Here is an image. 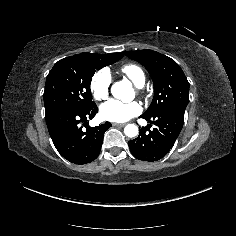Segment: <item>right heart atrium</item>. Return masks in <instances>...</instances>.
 <instances>
[{"instance_id": "1", "label": "right heart atrium", "mask_w": 236, "mask_h": 236, "mask_svg": "<svg viewBox=\"0 0 236 236\" xmlns=\"http://www.w3.org/2000/svg\"><path fill=\"white\" fill-rule=\"evenodd\" d=\"M111 86V76L105 70L98 71L91 79L90 90L95 101L101 102L108 98Z\"/></svg>"}]
</instances>
